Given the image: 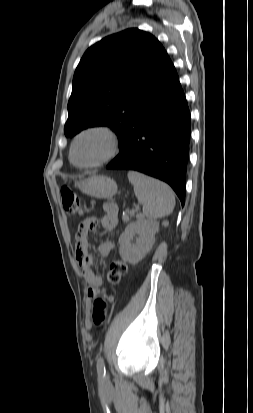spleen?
<instances>
[{"mask_svg": "<svg viewBox=\"0 0 253 413\" xmlns=\"http://www.w3.org/2000/svg\"><path fill=\"white\" fill-rule=\"evenodd\" d=\"M128 179L146 217L158 219L173 212L175 196L167 184L136 171H129Z\"/></svg>", "mask_w": 253, "mask_h": 413, "instance_id": "3e777b00", "label": "spleen"}]
</instances>
